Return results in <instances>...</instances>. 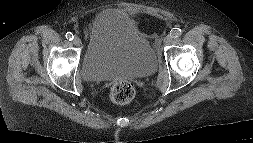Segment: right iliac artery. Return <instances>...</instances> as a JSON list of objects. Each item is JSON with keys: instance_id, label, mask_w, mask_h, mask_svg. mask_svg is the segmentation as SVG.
I'll return each instance as SVG.
<instances>
[{"instance_id": "obj_1", "label": "right iliac artery", "mask_w": 253, "mask_h": 143, "mask_svg": "<svg viewBox=\"0 0 253 143\" xmlns=\"http://www.w3.org/2000/svg\"><path fill=\"white\" fill-rule=\"evenodd\" d=\"M66 38H67L69 41L73 40V38H74L73 33L67 32V33H66Z\"/></svg>"}]
</instances>
